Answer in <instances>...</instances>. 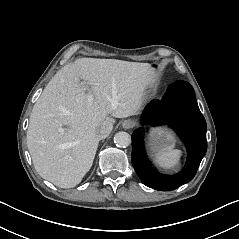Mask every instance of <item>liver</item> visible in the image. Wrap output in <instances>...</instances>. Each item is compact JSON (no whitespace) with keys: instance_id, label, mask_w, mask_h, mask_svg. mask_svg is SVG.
<instances>
[{"instance_id":"liver-1","label":"liver","mask_w":239,"mask_h":239,"mask_svg":"<svg viewBox=\"0 0 239 239\" xmlns=\"http://www.w3.org/2000/svg\"><path fill=\"white\" fill-rule=\"evenodd\" d=\"M155 75L148 63L114 59L82 58L64 66L30 116L27 146L37 173L63 189L80 184L96 156L97 130L111 117L135 115L140 94ZM76 140L82 141L66 146Z\"/></svg>"}]
</instances>
